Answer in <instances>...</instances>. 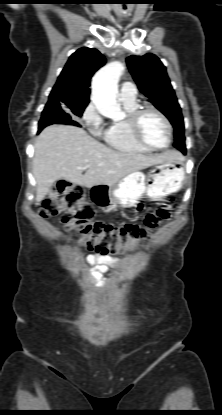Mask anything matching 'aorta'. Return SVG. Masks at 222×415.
Wrapping results in <instances>:
<instances>
[{"instance_id": "762f6f07", "label": "aorta", "mask_w": 222, "mask_h": 415, "mask_svg": "<svg viewBox=\"0 0 222 415\" xmlns=\"http://www.w3.org/2000/svg\"><path fill=\"white\" fill-rule=\"evenodd\" d=\"M124 65L119 61L110 62L93 77L92 101L98 112L109 118H120L122 111L117 102L118 81L123 74Z\"/></svg>"}]
</instances>
